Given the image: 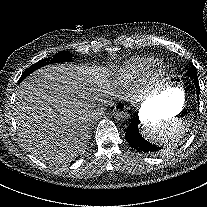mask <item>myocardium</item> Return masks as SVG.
Instances as JSON below:
<instances>
[{"label": "myocardium", "mask_w": 207, "mask_h": 207, "mask_svg": "<svg viewBox=\"0 0 207 207\" xmlns=\"http://www.w3.org/2000/svg\"><path fill=\"white\" fill-rule=\"evenodd\" d=\"M169 71L166 67L162 68L159 70V72L156 75V78L159 80H165L166 77L168 76Z\"/></svg>", "instance_id": "obj_1"}]
</instances>
